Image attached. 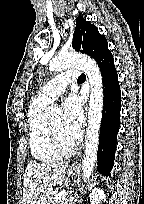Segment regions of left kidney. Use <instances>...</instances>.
<instances>
[{
    "label": "left kidney",
    "mask_w": 144,
    "mask_h": 204,
    "mask_svg": "<svg viewBox=\"0 0 144 204\" xmlns=\"http://www.w3.org/2000/svg\"><path fill=\"white\" fill-rule=\"evenodd\" d=\"M91 204H100L101 201H105L106 195L100 188H94L89 195Z\"/></svg>",
    "instance_id": "1"
}]
</instances>
